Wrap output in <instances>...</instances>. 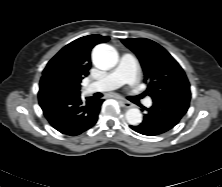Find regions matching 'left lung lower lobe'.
<instances>
[{
  "mask_svg": "<svg viewBox=\"0 0 222 187\" xmlns=\"http://www.w3.org/2000/svg\"><path fill=\"white\" fill-rule=\"evenodd\" d=\"M190 98V95H173L155 99L150 108H144L147 113L143 122L130 128L147 136L163 134L178 124L188 110Z\"/></svg>",
  "mask_w": 222,
  "mask_h": 187,
  "instance_id": "obj_1",
  "label": "left lung lower lobe"
}]
</instances>
